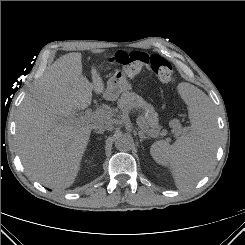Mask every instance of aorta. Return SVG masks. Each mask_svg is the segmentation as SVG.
Wrapping results in <instances>:
<instances>
[{"label": "aorta", "mask_w": 245, "mask_h": 245, "mask_svg": "<svg viewBox=\"0 0 245 245\" xmlns=\"http://www.w3.org/2000/svg\"><path fill=\"white\" fill-rule=\"evenodd\" d=\"M133 139L130 135L121 134L115 140V147L120 151H128L132 148Z\"/></svg>", "instance_id": "1"}]
</instances>
